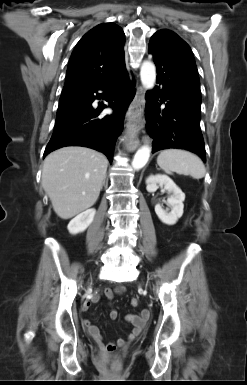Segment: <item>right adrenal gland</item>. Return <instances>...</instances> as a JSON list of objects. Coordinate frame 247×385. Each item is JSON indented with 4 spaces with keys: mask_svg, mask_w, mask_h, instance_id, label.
Returning <instances> with one entry per match:
<instances>
[{
    "mask_svg": "<svg viewBox=\"0 0 247 385\" xmlns=\"http://www.w3.org/2000/svg\"><path fill=\"white\" fill-rule=\"evenodd\" d=\"M105 181H106V177H105V179H104V181H103V184H102L103 186L105 185Z\"/></svg>",
    "mask_w": 247,
    "mask_h": 385,
    "instance_id": "2a0ac1e0",
    "label": "right adrenal gland"
}]
</instances>
